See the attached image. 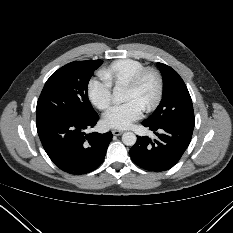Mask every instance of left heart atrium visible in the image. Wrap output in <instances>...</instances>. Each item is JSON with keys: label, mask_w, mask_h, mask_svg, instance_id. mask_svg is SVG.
<instances>
[{"label": "left heart atrium", "mask_w": 233, "mask_h": 233, "mask_svg": "<svg viewBox=\"0 0 233 233\" xmlns=\"http://www.w3.org/2000/svg\"><path fill=\"white\" fill-rule=\"evenodd\" d=\"M144 108L136 101H127L109 110L103 119L109 128L127 129L143 114Z\"/></svg>", "instance_id": "39dd6f15"}]
</instances>
